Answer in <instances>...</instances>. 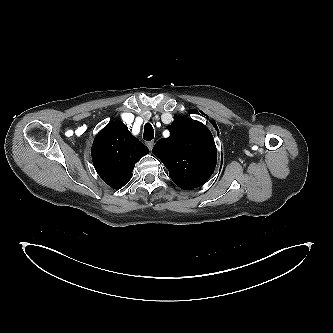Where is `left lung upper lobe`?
Segmentation results:
<instances>
[{
    "label": "left lung upper lobe",
    "mask_w": 333,
    "mask_h": 333,
    "mask_svg": "<svg viewBox=\"0 0 333 333\" xmlns=\"http://www.w3.org/2000/svg\"><path fill=\"white\" fill-rule=\"evenodd\" d=\"M152 153L166 166L172 181L182 189L205 183L215 170L217 152L213 136L202 123L176 115Z\"/></svg>",
    "instance_id": "1"
}]
</instances>
